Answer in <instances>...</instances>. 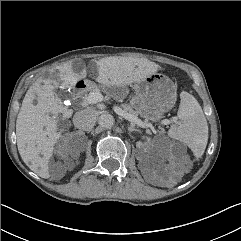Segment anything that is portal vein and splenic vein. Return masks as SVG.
<instances>
[{
    "instance_id": "1",
    "label": "portal vein and splenic vein",
    "mask_w": 241,
    "mask_h": 241,
    "mask_svg": "<svg viewBox=\"0 0 241 241\" xmlns=\"http://www.w3.org/2000/svg\"><path fill=\"white\" fill-rule=\"evenodd\" d=\"M102 100H103V95H102L100 92H91V93L89 94V101H90V103H92V104H96V103H98V102H101ZM115 112H116L118 115L122 116L123 118H125V119H127V120H129V121H131V122H134V123H136V124H138V125H140V126H142V127L149 126V125H146L145 123H143V122H142L140 119H138L136 116H133V115L127 113L126 111L122 110V109L119 108V107H116V108H115ZM173 122H174L173 119H171V120L165 119V120H162L161 123L164 124V125H169V124H171V123H173Z\"/></svg>"
}]
</instances>
